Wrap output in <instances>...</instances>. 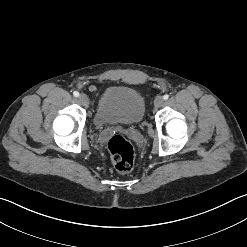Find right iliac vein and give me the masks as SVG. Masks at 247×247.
<instances>
[{
    "mask_svg": "<svg viewBox=\"0 0 247 247\" xmlns=\"http://www.w3.org/2000/svg\"><path fill=\"white\" fill-rule=\"evenodd\" d=\"M79 101L81 104L87 105L88 104V97L85 94H81L79 96Z\"/></svg>",
    "mask_w": 247,
    "mask_h": 247,
    "instance_id": "right-iliac-vein-1",
    "label": "right iliac vein"
}]
</instances>
